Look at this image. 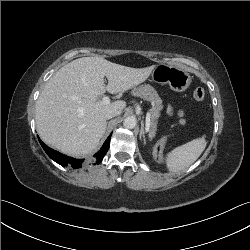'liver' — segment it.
<instances>
[{
	"label": "liver",
	"mask_w": 250,
	"mask_h": 250,
	"mask_svg": "<svg viewBox=\"0 0 250 250\" xmlns=\"http://www.w3.org/2000/svg\"><path fill=\"white\" fill-rule=\"evenodd\" d=\"M155 67L131 68L98 56L64 65L46 83L36 102L41 139L68 155L90 154L105 133L106 113L112 109L122 112L126 107L125 101L103 104L99 98L106 91L117 94L137 86Z\"/></svg>",
	"instance_id": "1"
}]
</instances>
